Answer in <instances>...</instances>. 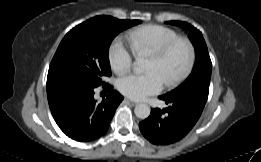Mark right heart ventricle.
Returning a JSON list of instances; mask_svg holds the SVG:
<instances>
[{
  "label": "right heart ventricle",
  "instance_id": "obj_1",
  "mask_svg": "<svg viewBox=\"0 0 261 162\" xmlns=\"http://www.w3.org/2000/svg\"><path fill=\"white\" fill-rule=\"evenodd\" d=\"M136 55L151 53L169 42L180 38L173 29L161 25H144L130 30L126 35Z\"/></svg>",
  "mask_w": 261,
  "mask_h": 162
}]
</instances>
